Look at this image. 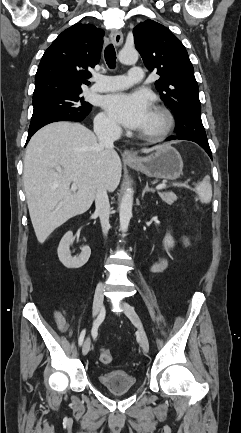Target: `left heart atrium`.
<instances>
[{
  "mask_svg": "<svg viewBox=\"0 0 241 433\" xmlns=\"http://www.w3.org/2000/svg\"><path fill=\"white\" fill-rule=\"evenodd\" d=\"M106 112L124 127L143 130L151 115V103L143 93H114L103 99Z\"/></svg>",
  "mask_w": 241,
  "mask_h": 433,
  "instance_id": "1",
  "label": "left heart atrium"
}]
</instances>
